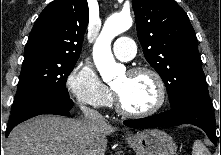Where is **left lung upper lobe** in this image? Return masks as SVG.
<instances>
[{"label": "left lung upper lobe", "mask_w": 221, "mask_h": 155, "mask_svg": "<svg viewBox=\"0 0 221 155\" xmlns=\"http://www.w3.org/2000/svg\"><path fill=\"white\" fill-rule=\"evenodd\" d=\"M132 6L145 58L165 83L170 105L207 88L197 38L184 10L174 0H133Z\"/></svg>", "instance_id": "1"}]
</instances>
